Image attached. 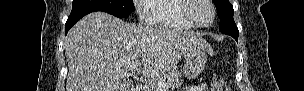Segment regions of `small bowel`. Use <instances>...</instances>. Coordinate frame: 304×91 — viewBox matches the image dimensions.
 <instances>
[{"instance_id":"c3829d8e","label":"small bowel","mask_w":304,"mask_h":91,"mask_svg":"<svg viewBox=\"0 0 304 91\" xmlns=\"http://www.w3.org/2000/svg\"><path fill=\"white\" fill-rule=\"evenodd\" d=\"M185 90H188V91H206L208 89H207V86L205 84H200V85H196V86L186 88Z\"/></svg>"}]
</instances>
